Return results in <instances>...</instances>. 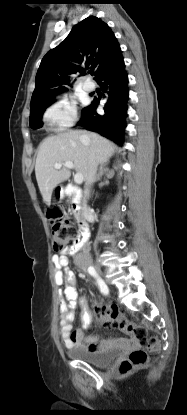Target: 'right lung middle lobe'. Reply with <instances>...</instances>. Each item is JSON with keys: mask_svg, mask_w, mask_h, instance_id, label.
I'll return each instance as SVG.
<instances>
[{"mask_svg": "<svg viewBox=\"0 0 187 415\" xmlns=\"http://www.w3.org/2000/svg\"><path fill=\"white\" fill-rule=\"evenodd\" d=\"M49 105H44L41 106L33 111L30 112V118H29V124L31 128H40L42 126V115L44 110L48 107Z\"/></svg>", "mask_w": 187, "mask_h": 415, "instance_id": "dd1d6c3e", "label": "right lung middle lobe"}]
</instances>
